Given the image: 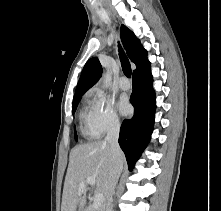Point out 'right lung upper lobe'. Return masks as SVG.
Returning <instances> with one entry per match:
<instances>
[{
    "mask_svg": "<svg viewBox=\"0 0 221 211\" xmlns=\"http://www.w3.org/2000/svg\"><path fill=\"white\" fill-rule=\"evenodd\" d=\"M121 40L128 57L136 65V70H134L133 73L150 65L147 59V51L142 47L134 33L125 25L121 26ZM101 74L102 67L98 58L93 57L89 59L81 73L74 97L82 96L99 80Z\"/></svg>",
    "mask_w": 221,
    "mask_h": 211,
    "instance_id": "right-lung-upper-lobe-1",
    "label": "right lung upper lobe"
}]
</instances>
